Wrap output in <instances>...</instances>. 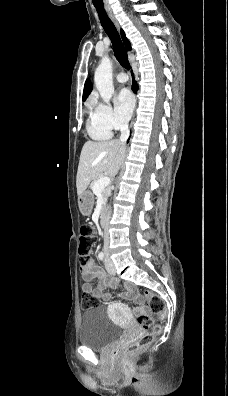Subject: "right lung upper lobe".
Instances as JSON below:
<instances>
[{"mask_svg": "<svg viewBox=\"0 0 228 396\" xmlns=\"http://www.w3.org/2000/svg\"><path fill=\"white\" fill-rule=\"evenodd\" d=\"M121 36H122V39H123V42H124V44H125L126 49H127L128 51L131 50L130 42H129V40L126 38L125 33H124L123 30H121ZM91 90H92L91 82H90V80H87V81L85 82V85H84L83 101L86 100V98H87L88 95L90 94Z\"/></svg>", "mask_w": 228, "mask_h": 396, "instance_id": "1", "label": "right lung upper lobe"}]
</instances>
